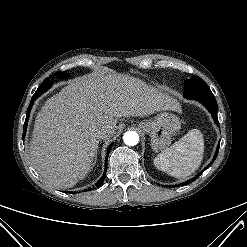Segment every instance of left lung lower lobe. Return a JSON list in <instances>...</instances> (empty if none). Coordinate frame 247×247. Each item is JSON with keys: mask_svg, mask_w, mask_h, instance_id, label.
<instances>
[{"mask_svg": "<svg viewBox=\"0 0 247 247\" xmlns=\"http://www.w3.org/2000/svg\"><path fill=\"white\" fill-rule=\"evenodd\" d=\"M191 100H196V101H199L200 103H202L207 108V110L211 113V115H212L214 121L216 122V124L219 125L218 118H217V102H216L214 97L195 98V99H191ZM219 145H220V142H219V144L217 146V149H216L215 155L213 157V160H215L217 155H218ZM200 175H201V173L197 174L195 178L199 177ZM189 182H191V180H189Z\"/></svg>", "mask_w": 247, "mask_h": 247, "instance_id": "0a47b994", "label": "left lung lower lobe"}]
</instances>
